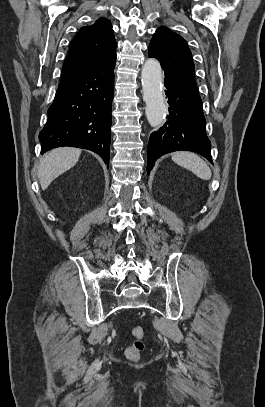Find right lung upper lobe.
<instances>
[{
	"label": "right lung upper lobe",
	"mask_w": 265,
	"mask_h": 407,
	"mask_svg": "<svg viewBox=\"0 0 265 407\" xmlns=\"http://www.w3.org/2000/svg\"><path fill=\"white\" fill-rule=\"evenodd\" d=\"M116 55V41L109 20L99 18L82 27L70 43L61 81L74 78Z\"/></svg>",
	"instance_id": "obj_1"
}]
</instances>
